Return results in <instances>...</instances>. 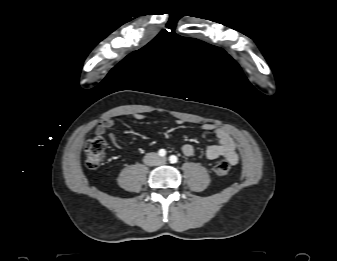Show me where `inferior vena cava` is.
<instances>
[{
  "label": "inferior vena cava",
  "instance_id": "602c4592",
  "mask_svg": "<svg viewBox=\"0 0 337 261\" xmlns=\"http://www.w3.org/2000/svg\"><path fill=\"white\" fill-rule=\"evenodd\" d=\"M150 158H153L156 161H151ZM144 162L147 165H159L162 163V158H160L156 153H149L146 155Z\"/></svg>",
  "mask_w": 337,
  "mask_h": 261
}]
</instances>
